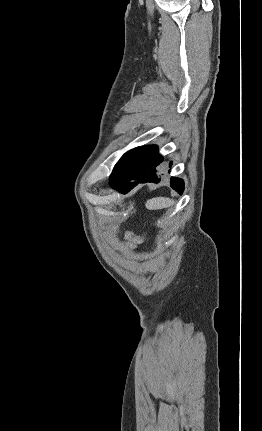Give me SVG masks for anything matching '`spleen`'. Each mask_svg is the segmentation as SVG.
I'll use <instances>...</instances> for the list:
<instances>
[{"mask_svg":"<svg viewBox=\"0 0 262 431\" xmlns=\"http://www.w3.org/2000/svg\"><path fill=\"white\" fill-rule=\"evenodd\" d=\"M172 205V201L169 198L156 197L146 202V208L148 210H159Z\"/></svg>","mask_w":262,"mask_h":431,"instance_id":"1","label":"spleen"}]
</instances>
